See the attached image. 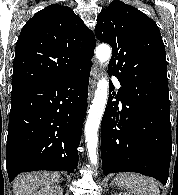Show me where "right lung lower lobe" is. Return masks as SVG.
I'll use <instances>...</instances> for the list:
<instances>
[{
	"label": "right lung lower lobe",
	"mask_w": 178,
	"mask_h": 195,
	"mask_svg": "<svg viewBox=\"0 0 178 195\" xmlns=\"http://www.w3.org/2000/svg\"><path fill=\"white\" fill-rule=\"evenodd\" d=\"M91 66L12 89L6 146L10 182L21 172L77 168Z\"/></svg>",
	"instance_id": "98d812e1"
}]
</instances>
